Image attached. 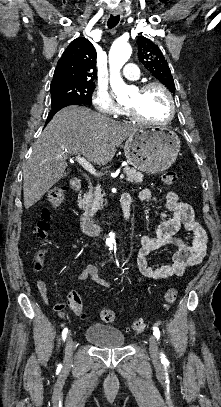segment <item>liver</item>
Here are the masks:
<instances>
[{
	"label": "liver",
	"mask_w": 221,
	"mask_h": 407,
	"mask_svg": "<svg viewBox=\"0 0 221 407\" xmlns=\"http://www.w3.org/2000/svg\"><path fill=\"white\" fill-rule=\"evenodd\" d=\"M138 126L121 123L87 107L69 106L54 115L33 146L23 170L24 206L29 209L65 177L68 155L106 165Z\"/></svg>",
	"instance_id": "obj_1"
}]
</instances>
